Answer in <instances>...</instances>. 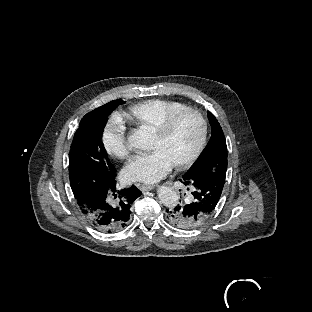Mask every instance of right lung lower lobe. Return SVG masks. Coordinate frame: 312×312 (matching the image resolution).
I'll return each mask as SVG.
<instances>
[{
  "instance_id": "1",
  "label": "right lung lower lobe",
  "mask_w": 312,
  "mask_h": 312,
  "mask_svg": "<svg viewBox=\"0 0 312 312\" xmlns=\"http://www.w3.org/2000/svg\"><path fill=\"white\" fill-rule=\"evenodd\" d=\"M142 194L135 186L128 190H116L114 180H107L93 187L79 191L75 195L82 213L88 217L92 226L106 233H114L127 226L130 219L132 203ZM112 195L117 199L110 205L106 198Z\"/></svg>"
}]
</instances>
